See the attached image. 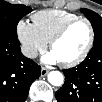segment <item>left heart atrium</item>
<instances>
[{"mask_svg": "<svg viewBox=\"0 0 102 102\" xmlns=\"http://www.w3.org/2000/svg\"><path fill=\"white\" fill-rule=\"evenodd\" d=\"M42 61L46 64H53L55 62H59L52 52L45 54L42 58Z\"/></svg>", "mask_w": 102, "mask_h": 102, "instance_id": "obj_1", "label": "left heart atrium"}]
</instances>
